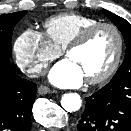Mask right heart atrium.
Wrapping results in <instances>:
<instances>
[{"label":"right heart atrium","instance_id":"1","mask_svg":"<svg viewBox=\"0 0 131 131\" xmlns=\"http://www.w3.org/2000/svg\"><path fill=\"white\" fill-rule=\"evenodd\" d=\"M13 49L19 67L32 76L42 73L50 62L61 55V51L41 32L31 29L16 38Z\"/></svg>","mask_w":131,"mask_h":131}]
</instances>
